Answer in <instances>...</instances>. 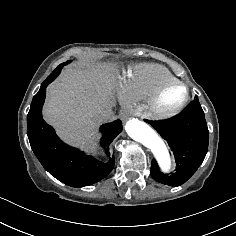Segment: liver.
Returning a JSON list of instances; mask_svg holds the SVG:
<instances>
[{
	"label": "liver",
	"mask_w": 236,
	"mask_h": 236,
	"mask_svg": "<svg viewBox=\"0 0 236 236\" xmlns=\"http://www.w3.org/2000/svg\"><path fill=\"white\" fill-rule=\"evenodd\" d=\"M106 76L105 70L93 72L74 65L48 87L45 120L68 142L85 147L94 145L91 137L103 121L97 111L113 105Z\"/></svg>",
	"instance_id": "obj_1"
}]
</instances>
